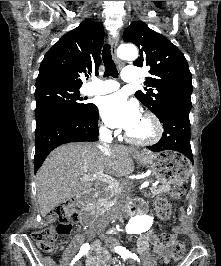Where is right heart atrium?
<instances>
[{
  "instance_id": "obj_1",
  "label": "right heart atrium",
  "mask_w": 221,
  "mask_h": 266,
  "mask_svg": "<svg viewBox=\"0 0 221 266\" xmlns=\"http://www.w3.org/2000/svg\"><path fill=\"white\" fill-rule=\"evenodd\" d=\"M99 130H100V133L102 135H108V134H110V130L106 126H104V125H101L99 127Z\"/></svg>"
}]
</instances>
